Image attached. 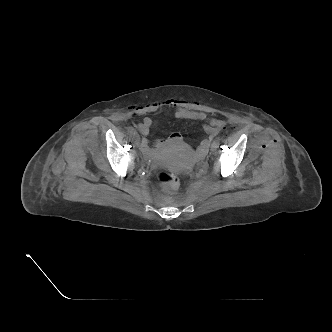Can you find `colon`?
<instances>
[{"label":"colon","mask_w":332,"mask_h":332,"mask_svg":"<svg viewBox=\"0 0 332 332\" xmlns=\"http://www.w3.org/2000/svg\"><path fill=\"white\" fill-rule=\"evenodd\" d=\"M158 180L168 191H175L179 187V177L173 172L162 171L158 174Z\"/></svg>","instance_id":"1"}]
</instances>
